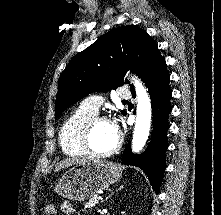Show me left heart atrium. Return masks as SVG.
<instances>
[{
  "mask_svg": "<svg viewBox=\"0 0 221 215\" xmlns=\"http://www.w3.org/2000/svg\"><path fill=\"white\" fill-rule=\"evenodd\" d=\"M113 130L115 131L116 134H118V126L115 123H111Z\"/></svg>",
  "mask_w": 221,
  "mask_h": 215,
  "instance_id": "obj_1",
  "label": "left heart atrium"
}]
</instances>
